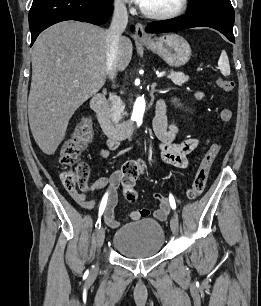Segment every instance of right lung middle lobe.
<instances>
[{"instance_id": "dd1d6c3e", "label": "right lung middle lobe", "mask_w": 261, "mask_h": 306, "mask_svg": "<svg viewBox=\"0 0 261 306\" xmlns=\"http://www.w3.org/2000/svg\"><path fill=\"white\" fill-rule=\"evenodd\" d=\"M101 1H104V2H107V3H112L113 0H101Z\"/></svg>"}]
</instances>
